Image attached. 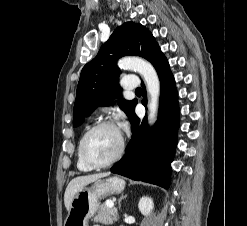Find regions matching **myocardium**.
<instances>
[{
  "instance_id": "f54148a6",
  "label": "myocardium",
  "mask_w": 247,
  "mask_h": 226,
  "mask_svg": "<svg viewBox=\"0 0 247 226\" xmlns=\"http://www.w3.org/2000/svg\"><path fill=\"white\" fill-rule=\"evenodd\" d=\"M107 127L108 128H114V129L119 131V128L117 127V125L114 121H112V120L99 121L96 124H94L93 126H91L83 134V136L79 142L80 157H81L82 161L91 169H100V168L108 167V166L114 164L115 162H117L123 156V154L125 152V147H126L125 140L120 133L121 139H120L119 149H118L117 153L111 159H109L108 161L103 162V163H94L88 159V157L86 156V153H85V142H86L87 138L96 130H99L101 128H107Z\"/></svg>"
}]
</instances>
